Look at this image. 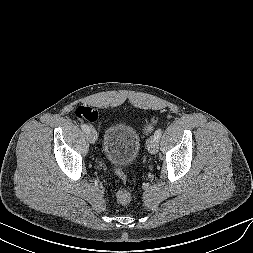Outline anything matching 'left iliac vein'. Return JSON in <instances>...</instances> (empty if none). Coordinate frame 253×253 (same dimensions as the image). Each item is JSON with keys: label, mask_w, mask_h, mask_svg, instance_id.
<instances>
[{"label": "left iliac vein", "mask_w": 253, "mask_h": 253, "mask_svg": "<svg viewBox=\"0 0 253 253\" xmlns=\"http://www.w3.org/2000/svg\"><path fill=\"white\" fill-rule=\"evenodd\" d=\"M159 149V139H157L155 136L151 137L148 142V151L151 154H156Z\"/></svg>", "instance_id": "1"}]
</instances>
